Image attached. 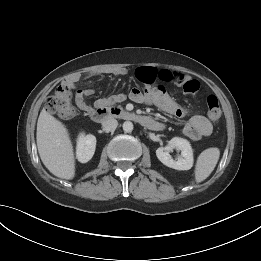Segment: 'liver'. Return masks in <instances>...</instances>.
Listing matches in <instances>:
<instances>
[{
  "instance_id": "1",
  "label": "liver",
  "mask_w": 261,
  "mask_h": 261,
  "mask_svg": "<svg viewBox=\"0 0 261 261\" xmlns=\"http://www.w3.org/2000/svg\"><path fill=\"white\" fill-rule=\"evenodd\" d=\"M36 140L45 167L59 178L73 179L75 157L68 130L45 109H42L38 118Z\"/></svg>"
}]
</instances>
